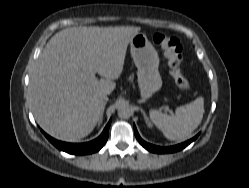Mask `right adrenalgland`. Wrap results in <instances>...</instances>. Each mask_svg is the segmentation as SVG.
I'll list each match as a JSON object with an SVG mask.
<instances>
[{"instance_id": "1", "label": "right adrenal gland", "mask_w": 249, "mask_h": 188, "mask_svg": "<svg viewBox=\"0 0 249 188\" xmlns=\"http://www.w3.org/2000/svg\"><path fill=\"white\" fill-rule=\"evenodd\" d=\"M103 113H104V110H103V112H102V114H101V117H100L99 123H101V122H102Z\"/></svg>"}]
</instances>
